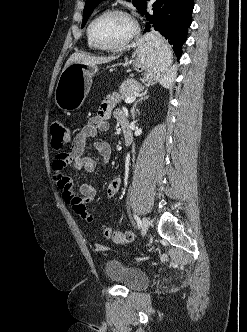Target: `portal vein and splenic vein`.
<instances>
[{
  "instance_id": "obj_1",
  "label": "portal vein and splenic vein",
  "mask_w": 247,
  "mask_h": 332,
  "mask_svg": "<svg viewBox=\"0 0 247 332\" xmlns=\"http://www.w3.org/2000/svg\"><path fill=\"white\" fill-rule=\"evenodd\" d=\"M136 100V96L127 97L125 103L130 104Z\"/></svg>"
}]
</instances>
